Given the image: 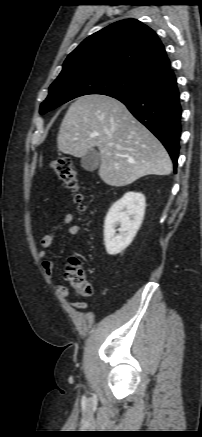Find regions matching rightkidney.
I'll return each mask as SVG.
<instances>
[{
    "label": "right kidney",
    "mask_w": 202,
    "mask_h": 437,
    "mask_svg": "<svg viewBox=\"0 0 202 437\" xmlns=\"http://www.w3.org/2000/svg\"><path fill=\"white\" fill-rule=\"evenodd\" d=\"M145 207V196L138 192H127L112 205L104 223V242L109 255L119 254L131 244L142 224Z\"/></svg>",
    "instance_id": "1"
}]
</instances>
